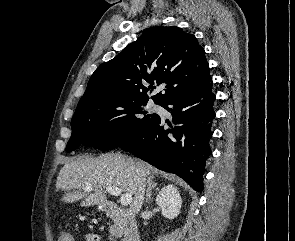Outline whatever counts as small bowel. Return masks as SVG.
Wrapping results in <instances>:
<instances>
[{
	"label": "small bowel",
	"mask_w": 295,
	"mask_h": 241,
	"mask_svg": "<svg viewBox=\"0 0 295 241\" xmlns=\"http://www.w3.org/2000/svg\"><path fill=\"white\" fill-rule=\"evenodd\" d=\"M85 241H101V237L97 235H86L84 238Z\"/></svg>",
	"instance_id": "small-bowel-1"
}]
</instances>
